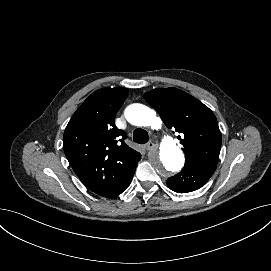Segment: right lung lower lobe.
<instances>
[{
    "mask_svg": "<svg viewBox=\"0 0 271 271\" xmlns=\"http://www.w3.org/2000/svg\"><path fill=\"white\" fill-rule=\"evenodd\" d=\"M140 157L137 158L136 161H134V163L128 168L119 169L116 172L117 178L113 179V181H111L109 184H107L105 187L95 193L106 198H113L124 192L131 183Z\"/></svg>",
    "mask_w": 271,
    "mask_h": 271,
    "instance_id": "right-lung-lower-lobe-1",
    "label": "right lung lower lobe"
}]
</instances>
